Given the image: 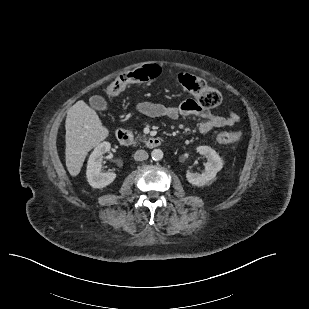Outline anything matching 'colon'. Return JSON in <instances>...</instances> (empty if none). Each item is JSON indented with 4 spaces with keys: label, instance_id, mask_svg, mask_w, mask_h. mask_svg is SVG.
<instances>
[{
    "label": "colon",
    "instance_id": "obj_1",
    "mask_svg": "<svg viewBox=\"0 0 309 309\" xmlns=\"http://www.w3.org/2000/svg\"><path fill=\"white\" fill-rule=\"evenodd\" d=\"M162 73V68L157 64L145 65L142 68L121 74L106 87V94L114 97L124 91L128 86L134 83L147 82L156 79ZM179 83L190 93H192L201 107L213 108L222 101L221 93L208 85L204 81L188 75H180ZM242 136L241 132L223 133L219 140L223 143H232L238 141Z\"/></svg>",
    "mask_w": 309,
    "mask_h": 309
}]
</instances>
